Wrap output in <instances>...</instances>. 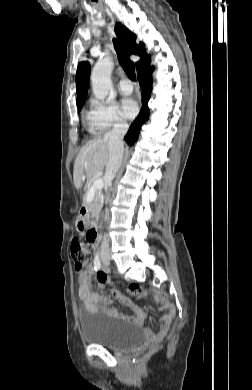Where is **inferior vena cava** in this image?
I'll return each mask as SVG.
<instances>
[{"label": "inferior vena cava", "mask_w": 252, "mask_h": 390, "mask_svg": "<svg viewBox=\"0 0 252 390\" xmlns=\"http://www.w3.org/2000/svg\"><path fill=\"white\" fill-rule=\"evenodd\" d=\"M128 130V124L118 123L114 125L112 131L107 133L105 137L108 140L109 160L106 165V172L104 175L105 182L111 184L116 172L119 170L123 159V137ZM109 251V242L104 236L101 244V252Z\"/></svg>", "instance_id": "inferior-vena-cava-1"}]
</instances>
